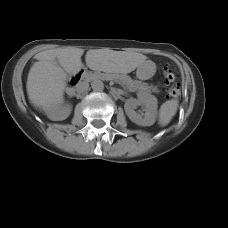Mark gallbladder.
Wrapping results in <instances>:
<instances>
[{"label":"gallbladder","instance_id":"gallbladder-1","mask_svg":"<svg viewBox=\"0 0 228 228\" xmlns=\"http://www.w3.org/2000/svg\"><path fill=\"white\" fill-rule=\"evenodd\" d=\"M56 62H57V64L59 65V63H58V60L56 59ZM71 80V77L70 76H68V81H70Z\"/></svg>","mask_w":228,"mask_h":228}]
</instances>
